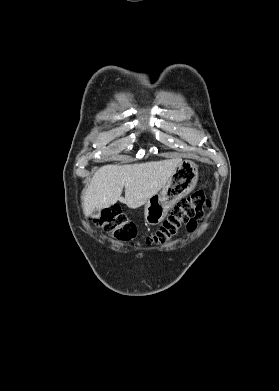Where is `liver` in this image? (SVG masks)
Instances as JSON below:
<instances>
[{
    "instance_id": "1",
    "label": "liver",
    "mask_w": 279,
    "mask_h": 391,
    "mask_svg": "<svg viewBox=\"0 0 279 391\" xmlns=\"http://www.w3.org/2000/svg\"><path fill=\"white\" fill-rule=\"evenodd\" d=\"M181 158L99 168L86 189L83 211L89 216L95 209L108 208L117 201L136 209L157 194L167 183ZM125 187V198L121 197Z\"/></svg>"
}]
</instances>
